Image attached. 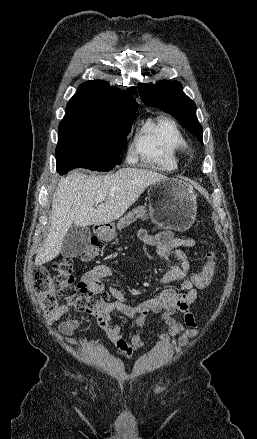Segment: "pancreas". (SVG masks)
Here are the masks:
<instances>
[{
  "mask_svg": "<svg viewBox=\"0 0 257 439\" xmlns=\"http://www.w3.org/2000/svg\"><path fill=\"white\" fill-rule=\"evenodd\" d=\"M148 218L149 215L146 206H139L122 217L117 223V228L121 230L122 228H125V226L135 222L137 219L147 220Z\"/></svg>",
  "mask_w": 257,
  "mask_h": 439,
  "instance_id": "1",
  "label": "pancreas"
}]
</instances>
